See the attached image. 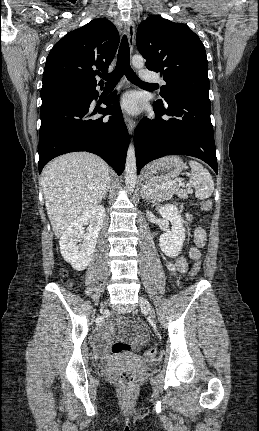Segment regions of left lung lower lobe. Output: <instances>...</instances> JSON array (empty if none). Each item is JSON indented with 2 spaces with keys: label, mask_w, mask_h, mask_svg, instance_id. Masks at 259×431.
Segmentation results:
<instances>
[{
  "label": "left lung lower lobe",
  "mask_w": 259,
  "mask_h": 431,
  "mask_svg": "<svg viewBox=\"0 0 259 431\" xmlns=\"http://www.w3.org/2000/svg\"><path fill=\"white\" fill-rule=\"evenodd\" d=\"M156 118H143L135 130L137 172L166 155H188L209 164L218 173L208 98L176 94L154 102Z\"/></svg>",
  "instance_id": "left-lung-lower-lobe-1"
}]
</instances>
